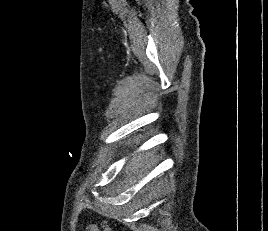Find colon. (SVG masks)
<instances>
[{
    "label": "colon",
    "instance_id": "5ec220e1",
    "mask_svg": "<svg viewBox=\"0 0 268 231\" xmlns=\"http://www.w3.org/2000/svg\"><path fill=\"white\" fill-rule=\"evenodd\" d=\"M101 229L102 231H111V228L107 224H103Z\"/></svg>",
    "mask_w": 268,
    "mask_h": 231
}]
</instances>
